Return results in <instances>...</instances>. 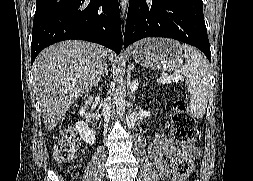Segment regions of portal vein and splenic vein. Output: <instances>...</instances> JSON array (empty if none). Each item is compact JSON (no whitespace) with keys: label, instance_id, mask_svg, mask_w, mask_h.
<instances>
[{"label":"portal vein and splenic vein","instance_id":"portal-vein-and-splenic-vein-1","mask_svg":"<svg viewBox=\"0 0 253 181\" xmlns=\"http://www.w3.org/2000/svg\"><path fill=\"white\" fill-rule=\"evenodd\" d=\"M181 79H182V77L180 75L173 74L169 77L160 79L159 81H161L162 83H171V82L178 81V80H181Z\"/></svg>","mask_w":253,"mask_h":181}]
</instances>
